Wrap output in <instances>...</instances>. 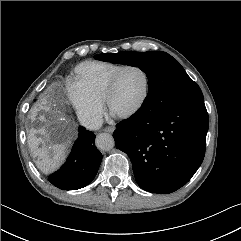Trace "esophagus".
I'll return each mask as SVG.
<instances>
[{"label":"esophagus","instance_id":"34e87169","mask_svg":"<svg viewBox=\"0 0 241 241\" xmlns=\"http://www.w3.org/2000/svg\"><path fill=\"white\" fill-rule=\"evenodd\" d=\"M115 130L113 126H107L106 128L103 129V131L112 133Z\"/></svg>","mask_w":241,"mask_h":241}]
</instances>
